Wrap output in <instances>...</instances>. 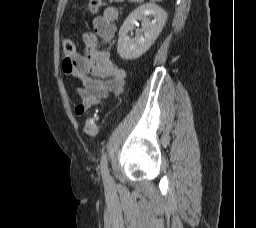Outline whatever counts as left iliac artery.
<instances>
[{"instance_id": "obj_1", "label": "left iliac artery", "mask_w": 256, "mask_h": 228, "mask_svg": "<svg viewBox=\"0 0 256 228\" xmlns=\"http://www.w3.org/2000/svg\"><path fill=\"white\" fill-rule=\"evenodd\" d=\"M100 170H101V175H102L104 184L109 186L110 185V174H109V170H108L106 153H104L101 157Z\"/></svg>"}]
</instances>
